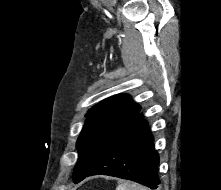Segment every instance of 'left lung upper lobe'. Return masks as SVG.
<instances>
[{
  "instance_id": "5c2ea615",
  "label": "left lung upper lobe",
  "mask_w": 221,
  "mask_h": 190,
  "mask_svg": "<svg viewBox=\"0 0 221 190\" xmlns=\"http://www.w3.org/2000/svg\"><path fill=\"white\" fill-rule=\"evenodd\" d=\"M140 109L130 96L119 94L101 101L87 112L86 123L76 143L79 159L73 172L74 182L92 169L107 145Z\"/></svg>"
}]
</instances>
